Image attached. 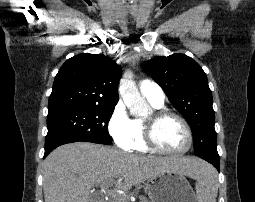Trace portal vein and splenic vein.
Listing matches in <instances>:
<instances>
[{
    "label": "portal vein and splenic vein",
    "instance_id": "obj_1",
    "mask_svg": "<svg viewBox=\"0 0 255 202\" xmlns=\"http://www.w3.org/2000/svg\"><path fill=\"white\" fill-rule=\"evenodd\" d=\"M121 180H118V182H120ZM113 184V181L112 180H109V181H107V185H112Z\"/></svg>",
    "mask_w": 255,
    "mask_h": 202
}]
</instances>
